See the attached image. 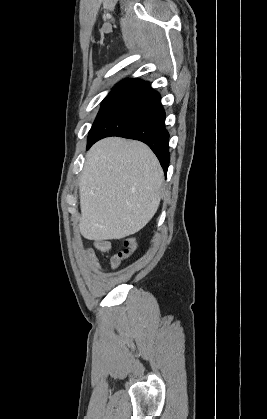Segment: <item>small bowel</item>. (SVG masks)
Instances as JSON below:
<instances>
[{
	"instance_id": "obj_1",
	"label": "small bowel",
	"mask_w": 267,
	"mask_h": 419,
	"mask_svg": "<svg viewBox=\"0 0 267 419\" xmlns=\"http://www.w3.org/2000/svg\"><path fill=\"white\" fill-rule=\"evenodd\" d=\"M94 246L96 249L109 254V263L111 267L117 268L120 264V259L116 253L112 252V248L109 242L104 240H97L94 242ZM85 258L89 262L91 269L95 272L100 271V265L98 262V258L93 249H86L85 250Z\"/></svg>"
}]
</instances>
